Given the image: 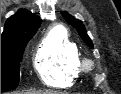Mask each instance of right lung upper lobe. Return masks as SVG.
<instances>
[{"instance_id": "right-lung-upper-lobe-1", "label": "right lung upper lobe", "mask_w": 121, "mask_h": 94, "mask_svg": "<svg viewBox=\"0 0 121 94\" xmlns=\"http://www.w3.org/2000/svg\"><path fill=\"white\" fill-rule=\"evenodd\" d=\"M40 25L41 19L39 17L25 9H20L15 15L7 19L1 34V43H7L25 34L37 32Z\"/></svg>"}]
</instances>
